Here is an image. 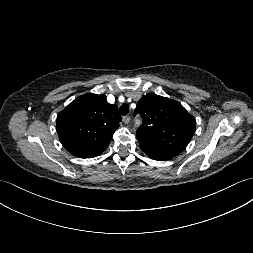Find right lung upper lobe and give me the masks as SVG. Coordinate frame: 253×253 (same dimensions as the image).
<instances>
[{
  "label": "right lung upper lobe",
  "instance_id": "right-lung-upper-lobe-1",
  "mask_svg": "<svg viewBox=\"0 0 253 253\" xmlns=\"http://www.w3.org/2000/svg\"><path fill=\"white\" fill-rule=\"evenodd\" d=\"M121 116L105 95L86 94L57 115L56 130L61 144L72 155L91 158L108 147Z\"/></svg>",
  "mask_w": 253,
  "mask_h": 253
}]
</instances>
